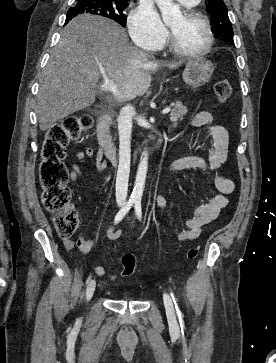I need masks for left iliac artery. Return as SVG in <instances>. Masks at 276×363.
Wrapping results in <instances>:
<instances>
[{
  "label": "left iliac artery",
  "mask_w": 276,
  "mask_h": 363,
  "mask_svg": "<svg viewBox=\"0 0 276 363\" xmlns=\"http://www.w3.org/2000/svg\"><path fill=\"white\" fill-rule=\"evenodd\" d=\"M134 207H135V213H136L137 218L141 219V217H142L141 200H136ZM171 297H172V300H173V302L175 304V307H176V310H177V313H178V318H179L180 325H181L183 314H182L181 311L178 310V307H177L178 299L176 298V296L172 292H171Z\"/></svg>",
  "instance_id": "obj_1"
}]
</instances>
